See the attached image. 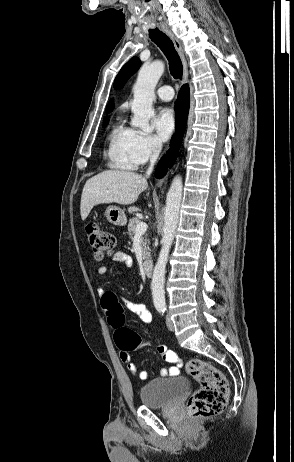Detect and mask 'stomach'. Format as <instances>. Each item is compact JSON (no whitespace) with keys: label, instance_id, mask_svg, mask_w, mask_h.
I'll list each match as a JSON object with an SVG mask.
<instances>
[{"label":"stomach","instance_id":"0dacf381","mask_svg":"<svg viewBox=\"0 0 294 462\" xmlns=\"http://www.w3.org/2000/svg\"><path fill=\"white\" fill-rule=\"evenodd\" d=\"M105 216L113 225L123 226L126 224L127 219L124 210L117 206H108L105 211Z\"/></svg>","mask_w":294,"mask_h":462}]
</instances>
